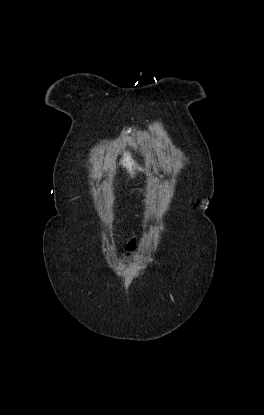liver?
<instances>
[{"mask_svg":"<svg viewBox=\"0 0 264 415\" xmlns=\"http://www.w3.org/2000/svg\"><path fill=\"white\" fill-rule=\"evenodd\" d=\"M122 164L124 167H126V169L131 175L134 174V170L137 168V166L130 155H127V154L124 155ZM138 169L141 170V168H138Z\"/></svg>","mask_w":264,"mask_h":415,"instance_id":"1","label":"liver"}]
</instances>
